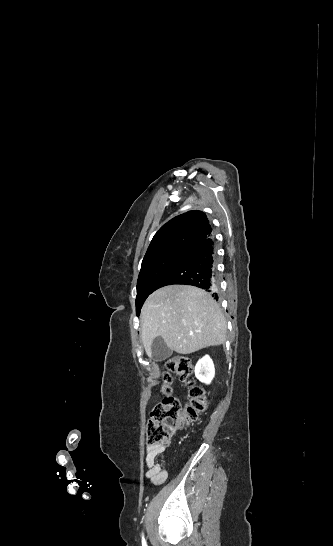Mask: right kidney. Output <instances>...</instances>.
I'll return each instance as SVG.
<instances>
[{"label":"right kidney","mask_w":333,"mask_h":546,"mask_svg":"<svg viewBox=\"0 0 333 546\" xmlns=\"http://www.w3.org/2000/svg\"><path fill=\"white\" fill-rule=\"evenodd\" d=\"M215 375V369L212 359L205 355L197 362L195 366V376L201 382L209 384Z\"/></svg>","instance_id":"ca27d5eb"}]
</instances>
